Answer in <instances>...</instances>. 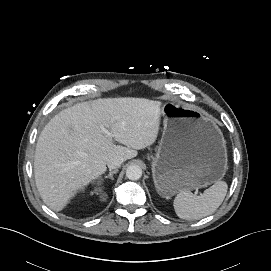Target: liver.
Instances as JSON below:
<instances>
[{
  "label": "liver",
  "instance_id": "6515ba94",
  "mask_svg": "<svg viewBox=\"0 0 271 271\" xmlns=\"http://www.w3.org/2000/svg\"><path fill=\"white\" fill-rule=\"evenodd\" d=\"M161 115V103L141 98L98 99L55 115L42 130L34 157L44 203L61 211L78 190L106 172L110 158L132 159L154 144Z\"/></svg>",
  "mask_w": 271,
  "mask_h": 271
}]
</instances>
